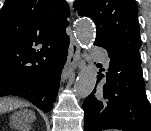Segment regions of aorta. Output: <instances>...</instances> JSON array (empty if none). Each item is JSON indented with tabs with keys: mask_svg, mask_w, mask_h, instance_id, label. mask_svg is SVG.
I'll use <instances>...</instances> for the list:
<instances>
[{
	"mask_svg": "<svg viewBox=\"0 0 151 131\" xmlns=\"http://www.w3.org/2000/svg\"><path fill=\"white\" fill-rule=\"evenodd\" d=\"M75 34L81 46L88 48L95 39V26L87 18H80L75 25ZM97 81V68L88 64L79 73L74 84V92L78 98L88 97L95 88Z\"/></svg>",
	"mask_w": 151,
	"mask_h": 131,
	"instance_id": "aorta-1",
	"label": "aorta"
}]
</instances>
